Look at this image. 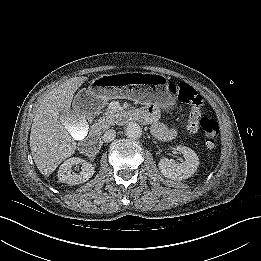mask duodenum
<instances>
[{
	"label": "duodenum",
	"mask_w": 261,
	"mask_h": 261,
	"mask_svg": "<svg viewBox=\"0 0 261 261\" xmlns=\"http://www.w3.org/2000/svg\"><path fill=\"white\" fill-rule=\"evenodd\" d=\"M126 116L129 118H134L136 116L135 110H128ZM99 147H100V139L97 135H95L80 145V151L84 155H91Z\"/></svg>",
	"instance_id": "1"
}]
</instances>
